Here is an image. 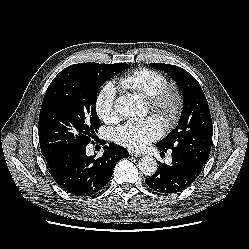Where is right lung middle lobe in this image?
Instances as JSON below:
<instances>
[{"label":"right lung middle lobe","instance_id":"obj_1","mask_svg":"<svg viewBox=\"0 0 249 249\" xmlns=\"http://www.w3.org/2000/svg\"><path fill=\"white\" fill-rule=\"evenodd\" d=\"M127 68L125 63H79L63 69L49 85L40 110L38 134L45 159L85 148L99 128L97 91Z\"/></svg>","mask_w":249,"mask_h":249}]
</instances>
